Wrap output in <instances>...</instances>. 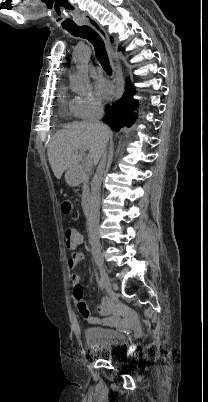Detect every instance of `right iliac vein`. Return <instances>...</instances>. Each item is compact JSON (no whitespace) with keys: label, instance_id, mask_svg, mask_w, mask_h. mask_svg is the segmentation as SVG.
Masks as SVG:
<instances>
[{"label":"right iliac vein","instance_id":"right-iliac-vein-1","mask_svg":"<svg viewBox=\"0 0 208 402\" xmlns=\"http://www.w3.org/2000/svg\"><path fill=\"white\" fill-rule=\"evenodd\" d=\"M96 265L98 266L100 275H101V280L106 288V290L109 292V294L113 293V283L108 277L107 271H106V266L101 258H96L95 259Z\"/></svg>","mask_w":208,"mask_h":402}]
</instances>
